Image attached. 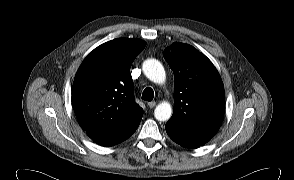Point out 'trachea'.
Returning a JSON list of instances; mask_svg holds the SVG:
<instances>
[{
  "instance_id": "trachea-1",
  "label": "trachea",
  "mask_w": 294,
  "mask_h": 180,
  "mask_svg": "<svg viewBox=\"0 0 294 180\" xmlns=\"http://www.w3.org/2000/svg\"><path fill=\"white\" fill-rule=\"evenodd\" d=\"M154 98V91L152 88L147 87L142 93V99L145 101H152Z\"/></svg>"
}]
</instances>
